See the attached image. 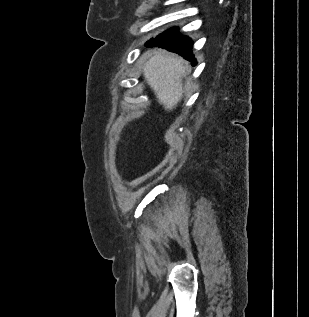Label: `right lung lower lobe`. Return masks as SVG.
Segmentation results:
<instances>
[{
	"instance_id": "98d812e1",
	"label": "right lung lower lobe",
	"mask_w": 309,
	"mask_h": 317,
	"mask_svg": "<svg viewBox=\"0 0 309 317\" xmlns=\"http://www.w3.org/2000/svg\"><path fill=\"white\" fill-rule=\"evenodd\" d=\"M147 47H161L168 51L176 52L194 65L195 58L192 53V41L188 37L182 36L176 28H171L166 32L158 35L156 38L149 40Z\"/></svg>"
}]
</instances>
